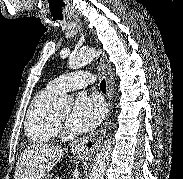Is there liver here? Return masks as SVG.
<instances>
[{
	"instance_id": "1",
	"label": "liver",
	"mask_w": 183,
	"mask_h": 179,
	"mask_svg": "<svg viewBox=\"0 0 183 179\" xmlns=\"http://www.w3.org/2000/svg\"><path fill=\"white\" fill-rule=\"evenodd\" d=\"M63 154L64 149L58 145L28 146L18 159L14 179H43Z\"/></svg>"
}]
</instances>
